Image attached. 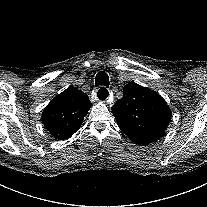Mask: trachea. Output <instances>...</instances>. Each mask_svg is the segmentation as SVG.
<instances>
[{
	"instance_id": "1",
	"label": "trachea",
	"mask_w": 207,
	"mask_h": 207,
	"mask_svg": "<svg viewBox=\"0 0 207 207\" xmlns=\"http://www.w3.org/2000/svg\"><path fill=\"white\" fill-rule=\"evenodd\" d=\"M95 85L96 87L97 86H103V88H101L99 91H98V98L100 100H104L108 97V90L106 89V87H109V77L106 73L104 72H99L97 75H96V78H95Z\"/></svg>"
}]
</instances>
